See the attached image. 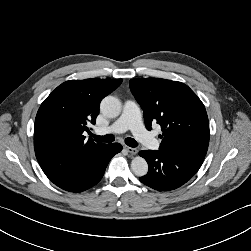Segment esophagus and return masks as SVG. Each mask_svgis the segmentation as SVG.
<instances>
[{
  "label": "esophagus",
  "mask_w": 251,
  "mask_h": 251,
  "mask_svg": "<svg viewBox=\"0 0 251 251\" xmlns=\"http://www.w3.org/2000/svg\"><path fill=\"white\" fill-rule=\"evenodd\" d=\"M124 149L130 153L131 155H135L137 153V149L136 148H132V147H129V146H124Z\"/></svg>",
  "instance_id": "obj_1"
}]
</instances>
